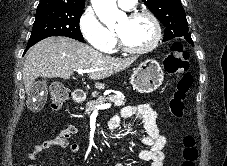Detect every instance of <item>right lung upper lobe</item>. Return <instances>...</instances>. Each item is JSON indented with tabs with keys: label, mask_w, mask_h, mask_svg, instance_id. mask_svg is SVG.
I'll return each mask as SVG.
<instances>
[{
	"label": "right lung upper lobe",
	"mask_w": 227,
	"mask_h": 166,
	"mask_svg": "<svg viewBox=\"0 0 227 166\" xmlns=\"http://www.w3.org/2000/svg\"><path fill=\"white\" fill-rule=\"evenodd\" d=\"M85 0H40L38 7L45 6H67L74 8H84Z\"/></svg>",
	"instance_id": "cb5924a9"
}]
</instances>
